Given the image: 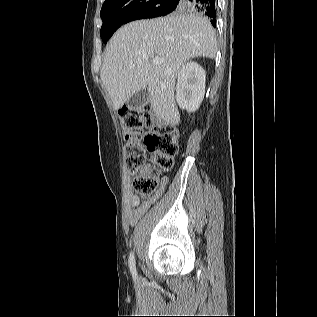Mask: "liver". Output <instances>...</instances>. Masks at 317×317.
Returning <instances> with one entry per match:
<instances>
[{
    "label": "liver",
    "mask_w": 317,
    "mask_h": 317,
    "mask_svg": "<svg viewBox=\"0 0 317 317\" xmlns=\"http://www.w3.org/2000/svg\"><path fill=\"white\" fill-rule=\"evenodd\" d=\"M217 49L210 21L199 14L134 21L110 39L100 77L116 110L147 88L155 115L174 126L180 122L174 99L178 73L191 58L213 59ZM155 58L159 65L152 64Z\"/></svg>",
    "instance_id": "6515ba94"
}]
</instances>
